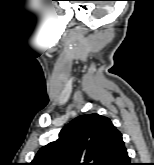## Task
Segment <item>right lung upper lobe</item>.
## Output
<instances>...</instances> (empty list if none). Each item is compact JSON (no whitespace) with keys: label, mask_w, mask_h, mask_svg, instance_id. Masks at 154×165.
I'll list each match as a JSON object with an SVG mask.
<instances>
[{"label":"right lung upper lobe","mask_w":154,"mask_h":165,"mask_svg":"<svg viewBox=\"0 0 154 165\" xmlns=\"http://www.w3.org/2000/svg\"><path fill=\"white\" fill-rule=\"evenodd\" d=\"M121 133L109 118L96 113L81 115L43 146L31 165H99Z\"/></svg>","instance_id":"obj_1"}]
</instances>
